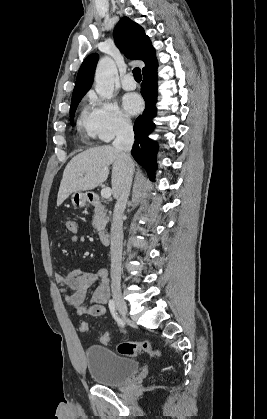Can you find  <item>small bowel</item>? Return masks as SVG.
<instances>
[{"label": "small bowel", "mask_w": 267, "mask_h": 419, "mask_svg": "<svg viewBox=\"0 0 267 419\" xmlns=\"http://www.w3.org/2000/svg\"><path fill=\"white\" fill-rule=\"evenodd\" d=\"M79 239L76 241V243ZM56 283L61 287L65 304L77 315L102 316L106 313V304L110 294V280L105 268L95 271L73 269L65 273L56 272ZM96 289L87 303L88 290L91 286Z\"/></svg>", "instance_id": "1"}]
</instances>
